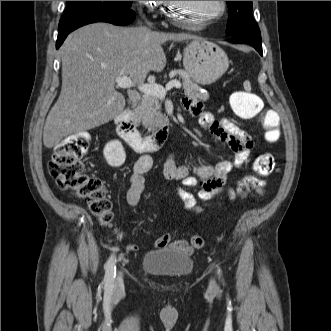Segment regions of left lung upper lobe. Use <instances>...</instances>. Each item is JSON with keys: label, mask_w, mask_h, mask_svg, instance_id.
<instances>
[{"label": "left lung upper lobe", "mask_w": 331, "mask_h": 331, "mask_svg": "<svg viewBox=\"0 0 331 331\" xmlns=\"http://www.w3.org/2000/svg\"><path fill=\"white\" fill-rule=\"evenodd\" d=\"M229 18L226 34L230 37L242 34L260 33L252 16V1H226Z\"/></svg>", "instance_id": "1"}]
</instances>
